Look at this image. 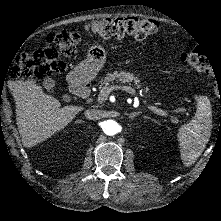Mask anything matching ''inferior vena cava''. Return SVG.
Returning a JSON list of instances; mask_svg holds the SVG:
<instances>
[{"label": "inferior vena cava", "instance_id": "inferior-vena-cava-1", "mask_svg": "<svg viewBox=\"0 0 221 221\" xmlns=\"http://www.w3.org/2000/svg\"><path fill=\"white\" fill-rule=\"evenodd\" d=\"M84 115L89 120H100L104 117V111L99 109H88L84 112Z\"/></svg>", "mask_w": 221, "mask_h": 221}]
</instances>
